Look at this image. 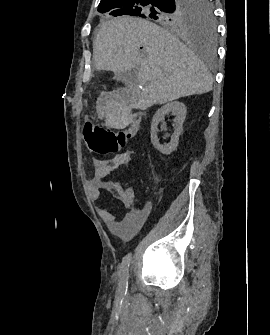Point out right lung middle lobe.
Listing matches in <instances>:
<instances>
[{
  "mask_svg": "<svg viewBox=\"0 0 270 335\" xmlns=\"http://www.w3.org/2000/svg\"><path fill=\"white\" fill-rule=\"evenodd\" d=\"M98 11L104 17L130 15L152 19L164 27L198 35L209 43L215 36L210 0H101Z\"/></svg>",
  "mask_w": 270,
  "mask_h": 335,
  "instance_id": "1",
  "label": "right lung middle lobe"
}]
</instances>
